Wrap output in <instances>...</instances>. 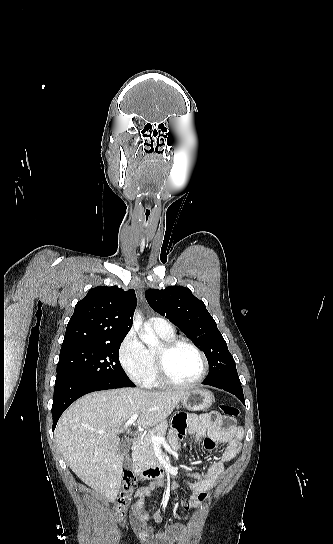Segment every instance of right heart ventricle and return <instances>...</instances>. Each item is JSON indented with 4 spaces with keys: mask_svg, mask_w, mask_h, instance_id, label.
I'll use <instances>...</instances> for the list:
<instances>
[{
    "mask_svg": "<svg viewBox=\"0 0 333 544\" xmlns=\"http://www.w3.org/2000/svg\"><path fill=\"white\" fill-rule=\"evenodd\" d=\"M156 333L164 341L175 338L174 332L165 334V333L156 331ZM147 351H148V358H149V370L143 385L149 388L160 387L163 385V383L159 380L157 376L156 367H155V358H154L155 351L152 349H149Z\"/></svg>",
    "mask_w": 333,
    "mask_h": 544,
    "instance_id": "right-heart-ventricle-1",
    "label": "right heart ventricle"
}]
</instances>
